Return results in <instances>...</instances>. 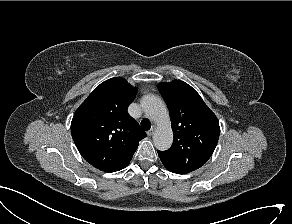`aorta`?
I'll use <instances>...</instances> for the list:
<instances>
[{
    "label": "aorta",
    "instance_id": "1",
    "mask_svg": "<svg viewBox=\"0 0 292 224\" xmlns=\"http://www.w3.org/2000/svg\"><path fill=\"white\" fill-rule=\"evenodd\" d=\"M141 105L146 115L158 125L153 135L155 147L160 151L169 149L173 142V131L165 103L158 96L146 95Z\"/></svg>",
    "mask_w": 292,
    "mask_h": 224
}]
</instances>
